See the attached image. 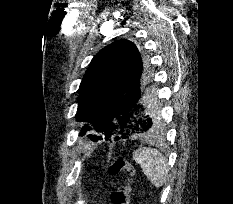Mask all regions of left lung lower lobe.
<instances>
[{"instance_id":"0a47b994","label":"left lung lower lobe","mask_w":233,"mask_h":204,"mask_svg":"<svg viewBox=\"0 0 233 204\" xmlns=\"http://www.w3.org/2000/svg\"><path fill=\"white\" fill-rule=\"evenodd\" d=\"M148 76L146 73L143 74L124 95L119 109V124L123 132L115 139H126L136 133H153L158 130L155 88L148 82Z\"/></svg>"}]
</instances>
